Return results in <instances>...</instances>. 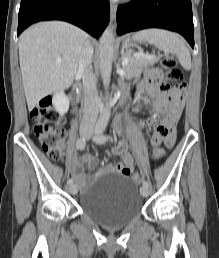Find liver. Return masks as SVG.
Here are the masks:
<instances>
[{
	"label": "liver",
	"instance_id": "6515ba94",
	"mask_svg": "<svg viewBox=\"0 0 219 258\" xmlns=\"http://www.w3.org/2000/svg\"><path fill=\"white\" fill-rule=\"evenodd\" d=\"M87 37L61 21L41 22L21 34L19 61L29 110L45 96L70 87Z\"/></svg>",
	"mask_w": 219,
	"mask_h": 258
}]
</instances>
